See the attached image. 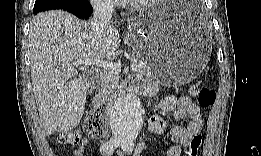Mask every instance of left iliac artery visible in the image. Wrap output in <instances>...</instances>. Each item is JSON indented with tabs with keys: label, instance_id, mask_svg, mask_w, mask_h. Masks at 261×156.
<instances>
[{
	"label": "left iliac artery",
	"instance_id": "1",
	"mask_svg": "<svg viewBox=\"0 0 261 156\" xmlns=\"http://www.w3.org/2000/svg\"><path fill=\"white\" fill-rule=\"evenodd\" d=\"M121 148L125 152H131L133 150V141L131 139H123L121 141Z\"/></svg>",
	"mask_w": 261,
	"mask_h": 156
}]
</instances>
